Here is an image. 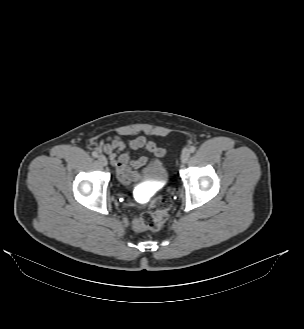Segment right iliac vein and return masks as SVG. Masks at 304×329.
<instances>
[{
	"label": "right iliac vein",
	"mask_w": 304,
	"mask_h": 329,
	"mask_svg": "<svg viewBox=\"0 0 304 329\" xmlns=\"http://www.w3.org/2000/svg\"><path fill=\"white\" fill-rule=\"evenodd\" d=\"M98 161L101 165L106 166L108 164L107 158L104 155L98 157Z\"/></svg>",
	"instance_id": "right-iliac-vein-1"
}]
</instances>
